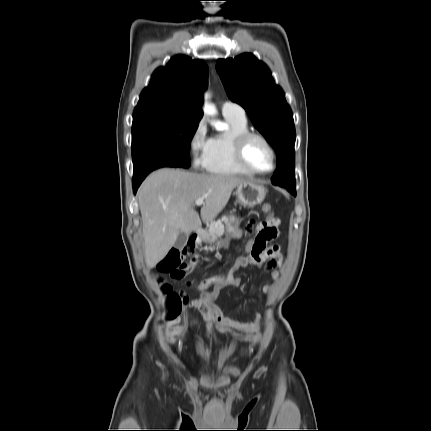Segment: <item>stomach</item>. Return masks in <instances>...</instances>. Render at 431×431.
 Returning a JSON list of instances; mask_svg holds the SVG:
<instances>
[{
    "mask_svg": "<svg viewBox=\"0 0 431 431\" xmlns=\"http://www.w3.org/2000/svg\"><path fill=\"white\" fill-rule=\"evenodd\" d=\"M237 200L240 204L248 207H253L261 204L266 196V190L263 186L256 184L252 181H246L237 186L236 189ZM241 230L239 229V219L236 217H230L226 222V236L227 238L223 241L218 242V246H227L230 238H240ZM209 242L215 241V236L209 234L206 238Z\"/></svg>",
    "mask_w": 431,
    "mask_h": 431,
    "instance_id": "0dacf381",
    "label": "stomach"
}]
</instances>
